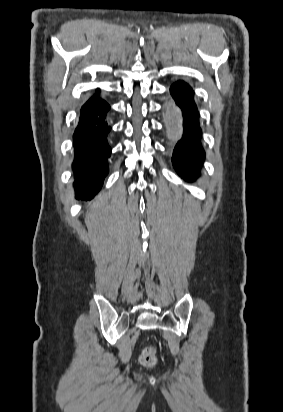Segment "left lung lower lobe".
<instances>
[{
	"instance_id": "1",
	"label": "left lung lower lobe",
	"mask_w": 283,
	"mask_h": 412,
	"mask_svg": "<svg viewBox=\"0 0 283 412\" xmlns=\"http://www.w3.org/2000/svg\"><path fill=\"white\" fill-rule=\"evenodd\" d=\"M170 92L182 109L184 117L183 138L174 149L172 161L178 174L187 181H192L199 176L200 163L205 158L200 143L198 111L193 100V91L188 84L179 81L171 86Z\"/></svg>"
}]
</instances>
